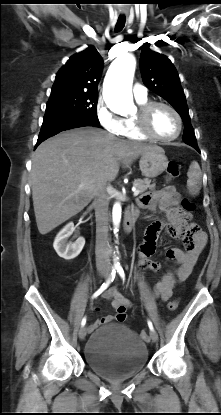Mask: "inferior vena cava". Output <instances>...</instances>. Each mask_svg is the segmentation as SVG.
<instances>
[{"instance_id":"inferior-vena-cava-1","label":"inferior vena cava","mask_w":221,"mask_h":415,"mask_svg":"<svg viewBox=\"0 0 221 415\" xmlns=\"http://www.w3.org/2000/svg\"><path fill=\"white\" fill-rule=\"evenodd\" d=\"M108 195L105 186H100L95 194L96 217V266L97 268H109L108 262Z\"/></svg>"}]
</instances>
